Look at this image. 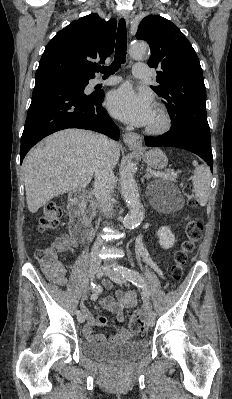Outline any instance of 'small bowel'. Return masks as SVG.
<instances>
[{"instance_id": "small-bowel-1", "label": "small bowel", "mask_w": 232, "mask_h": 399, "mask_svg": "<svg viewBox=\"0 0 232 399\" xmlns=\"http://www.w3.org/2000/svg\"><path fill=\"white\" fill-rule=\"evenodd\" d=\"M81 243L79 242H58L56 244L57 249L61 251H71L79 248ZM104 287L111 291L113 289V283L108 280H103ZM116 296L118 301H114L112 297H106L101 300V305L104 308L113 310L116 314L117 320H123L124 309L133 308L136 304V293L130 290L127 294L123 291H117ZM81 313L85 316L86 322L80 326V331L85 335L87 343L91 346L97 345L98 336L94 333V328L97 326L105 325L106 320L101 315H93L87 306H80ZM131 332V328L125 325H121L115 332L108 334L109 339H120L128 335Z\"/></svg>"}]
</instances>
